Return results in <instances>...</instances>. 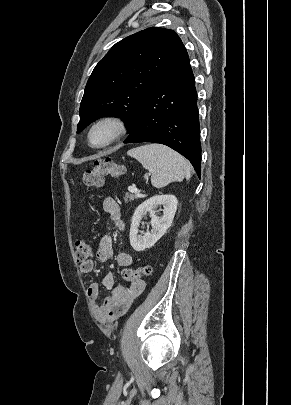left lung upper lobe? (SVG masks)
Segmentation results:
<instances>
[{
	"mask_svg": "<svg viewBox=\"0 0 291 405\" xmlns=\"http://www.w3.org/2000/svg\"><path fill=\"white\" fill-rule=\"evenodd\" d=\"M183 48L176 32L159 27L116 43L86 84L77 132L103 116L121 117L132 132L145 96Z\"/></svg>",
	"mask_w": 291,
	"mask_h": 405,
	"instance_id": "obj_1",
	"label": "left lung upper lobe"
}]
</instances>
